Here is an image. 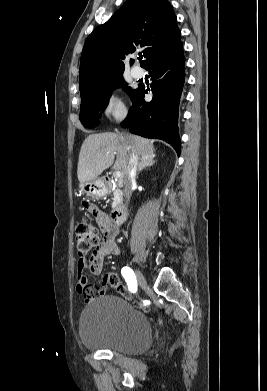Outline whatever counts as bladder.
<instances>
[{"label": "bladder", "mask_w": 267, "mask_h": 391, "mask_svg": "<svg viewBox=\"0 0 267 391\" xmlns=\"http://www.w3.org/2000/svg\"><path fill=\"white\" fill-rule=\"evenodd\" d=\"M79 337L87 348L138 355L151 345L152 328L145 314L128 301L105 295L83 309Z\"/></svg>", "instance_id": "obj_1"}]
</instances>
